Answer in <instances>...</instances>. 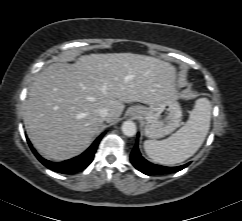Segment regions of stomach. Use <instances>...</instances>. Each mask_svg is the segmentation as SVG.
Returning <instances> with one entry per match:
<instances>
[{
    "mask_svg": "<svg viewBox=\"0 0 242 221\" xmlns=\"http://www.w3.org/2000/svg\"><path fill=\"white\" fill-rule=\"evenodd\" d=\"M137 110L142 113L140 115L132 113V115L144 122L145 135L151 139L170 134L181 122L182 110L176 99L164 100L149 107L138 105L131 108L132 112Z\"/></svg>",
    "mask_w": 242,
    "mask_h": 221,
    "instance_id": "1",
    "label": "stomach"
}]
</instances>
